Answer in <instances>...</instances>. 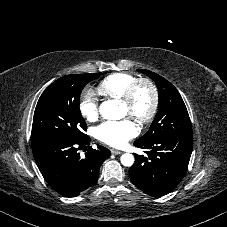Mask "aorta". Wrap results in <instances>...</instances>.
<instances>
[{"label":"aorta","mask_w":227,"mask_h":227,"mask_svg":"<svg viewBox=\"0 0 227 227\" xmlns=\"http://www.w3.org/2000/svg\"><path fill=\"white\" fill-rule=\"evenodd\" d=\"M100 114L106 119H121L126 115L121 103L118 100H107L100 105ZM121 163L126 167H130L134 163V156L125 153L121 156Z\"/></svg>","instance_id":"762f6f07"}]
</instances>
